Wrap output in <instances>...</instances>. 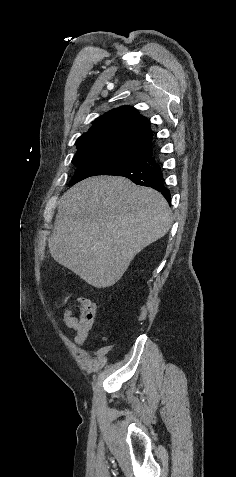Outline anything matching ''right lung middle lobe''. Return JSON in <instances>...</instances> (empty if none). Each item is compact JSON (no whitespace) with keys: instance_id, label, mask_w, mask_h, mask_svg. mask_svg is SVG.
Masks as SVG:
<instances>
[{"instance_id":"obj_1","label":"right lung middle lobe","mask_w":236,"mask_h":477,"mask_svg":"<svg viewBox=\"0 0 236 477\" xmlns=\"http://www.w3.org/2000/svg\"><path fill=\"white\" fill-rule=\"evenodd\" d=\"M142 157L136 156L131 159L133 162H139ZM77 170L69 185H73L85 178L96 175H111L117 170L123 168L122 163L105 160V159H89L72 161Z\"/></svg>"}]
</instances>
